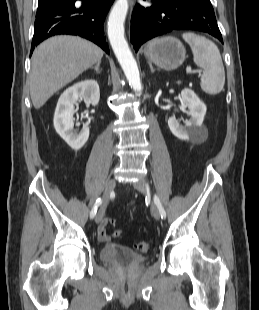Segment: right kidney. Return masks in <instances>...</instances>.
Masks as SVG:
<instances>
[{
	"label": "right kidney",
	"mask_w": 259,
	"mask_h": 310,
	"mask_svg": "<svg viewBox=\"0 0 259 310\" xmlns=\"http://www.w3.org/2000/svg\"><path fill=\"white\" fill-rule=\"evenodd\" d=\"M82 97L87 104L96 106L99 103V85L95 80H86L76 83L66 89L60 96L54 114V128L64 141L74 150L84 146L89 138V126L84 125L82 130H74L72 119L74 104Z\"/></svg>",
	"instance_id": "ca27d5eb"
}]
</instances>
